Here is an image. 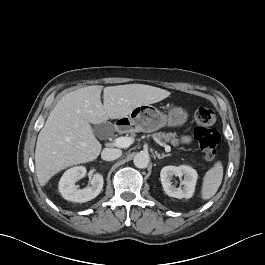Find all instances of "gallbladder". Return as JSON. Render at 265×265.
<instances>
[{"label":"gallbladder","instance_id":"1","mask_svg":"<svg viewBox=\"0 0 265 265\" xmlns=\"http://www.w3.org/2000/svg\"><path fill=\"white\" fill-rule=\"evenodd\" d=\"M113 131V125L110 123H102L94 127V133L98 137H103L107 132Z\"/></svg>","mask_w":265,"mask_h":265}]
</instances>
